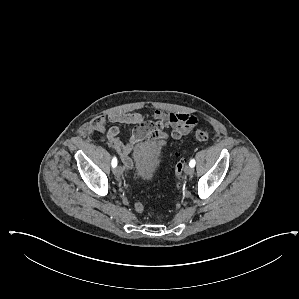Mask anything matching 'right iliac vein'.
Segmentation results:
<instances>
[{"label":"right iliac vein","instance_id":"63e3f726","mask_svg":"<svg viewBox=\"0 0 299 299\" xmlns=\"http://www.w3.org/2000/svg\"><path fill=\"white\" fill-rule=\"evenodd\" d=\"M113 172L116 177H121L123 175V168L121 166H117Z\"/></svg>","mask_w":299,"mask_h":299}]
</instances>
